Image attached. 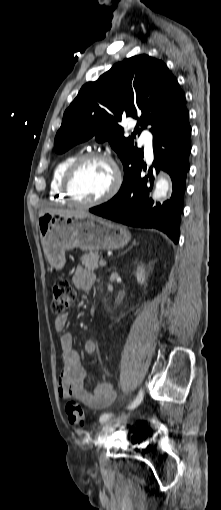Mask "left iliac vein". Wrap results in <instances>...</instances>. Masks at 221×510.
I'll list each match as a JSON object with an SVG mask.
<instances>
[{
  "label": "left iliac vein",
  "mask_w": 221,
  "mask_h": 510,
  "mask_svg": "<svg viewBox=\"0 0 221 510\" xmlns=\"http://www.w3.org/2000/svg\"><path fill=\"white\" fill-rule=\"evenodd\" d=\"M141 391L143 390L141 389L139 392ZM128 418L129 415H122L107 421L104 427L102 428L100 439L106 440L113 433V431L121 424L125 423L128 420Z\"/></svg>",
  "instance_id": "left-iliac-vein-1"
}]
</instances>
